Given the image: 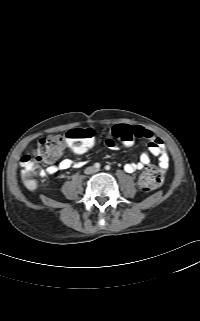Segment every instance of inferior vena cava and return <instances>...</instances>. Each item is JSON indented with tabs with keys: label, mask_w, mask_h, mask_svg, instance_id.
<instances>
[{
	"label": "inferior vena cava",
	"mask_w": 200,
	"mask_h": 321,
	"mask_svg": "<svg viewBox=\"0 0 200 321\" xmlns=\"http://www.w3.org/2000/svg\"><path fill=\"white\" fill-rule=\"evenodd\" d=\"M97 172V169L94 168V167H88L86 170H85V173L86 174H91V173H95Z\"/></svg>",
	"instance_id": "obj_1"
}]
</instances>
